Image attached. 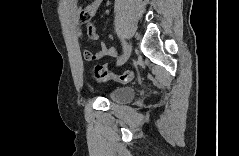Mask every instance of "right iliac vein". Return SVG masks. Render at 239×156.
<instances>
[{"mask_svg":"<svg viewBox=\"0 0 239 156\" xmlns=\"http://www.w3.org/2000/svg\"><path fill=\"white\" fill-rule=\"evenodd\" d=\"M130 54H131V44L129 43V44H127V47H126L123 55L119 58L118 65L119 66L123 65L128 60Z\"/></svg>","mask_w":239,"mask_h":156,"instance_id":"1","label":"right iliac vein"}]
</instances>
